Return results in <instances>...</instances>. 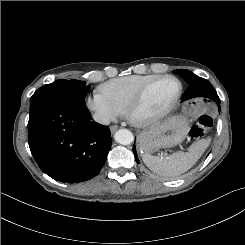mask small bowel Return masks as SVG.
I'll use <instances>...</instances> for the list:
<instances>
[{
    "label": "small bowel",
    "mask_w": 245,
    "mask_h": 245,
    "mask_svg": "<svg viewBox=\"0 0 245 245\" xmlns=\"http://www.w3.org/2000/svg\"><path fill=\"white\" fill-rule=\"evenodd\" d=\"M211 109V104L206 99L191 100L186 105V110L191 115H205Z\"/></svg>",
    "instance_id": "1"
}]
</instances>
